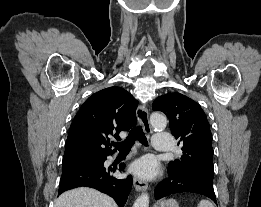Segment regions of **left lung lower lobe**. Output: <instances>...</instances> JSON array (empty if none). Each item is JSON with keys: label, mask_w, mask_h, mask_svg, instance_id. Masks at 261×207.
<instances>
[{"label": "left lung lower lobe", "mask_w": 261, "mask_h": 207, "mask_svg": "<svg viewBox=\"0 0 261 207\" xmlns=\"http://www.w3.org/2000/svg\"><path fill=\"white\" fill-rule=\"evenodd\" d=\"M168 175V178L157 185L154 192L156 199L177 193H198L207 196L217 204L213 181L186 172L168 171Z\"/></svg>", "instance_id": "left-lung-lower-lobe-1"}]
</instances>
